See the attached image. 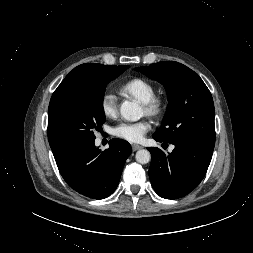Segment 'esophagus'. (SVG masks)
<instances>
[{
  "mask_svg": "<svg viewBox=\"0 0 253 253\" xmlns=\"http://www.w3.org/2000/svg\"><path fill=\"white\" fill-rule=\"evenodd\" d=\"M141 148H142L141 145H138V144H133V145H132V150H133V151H137V150H139V149H141Z\"/></svg>",
  "mask_w": 253,
  "mask_h": 253,
  "instance_id": "obj_1",
  "label": "esophagus"
}]
</instances>
